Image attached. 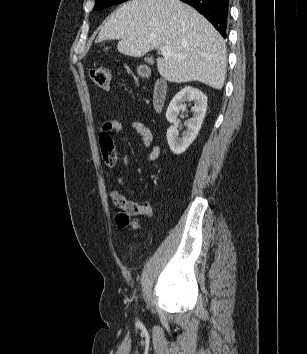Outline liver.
I'll use <instances>...</instances> for the list:
<instances>
[{
    "label": "liver",
    "instance_id": "liver-1",
    "mask_svg": "<svg viewBox=\"0 0 307 354\" xmlns=\"http://www.w3.org/2000/svg\"><path fill=\"white\" fill-rule=\"evenodd\" d=\"M119 40L120 53L142 57L169 46L179 57H159L157 69L169 82L199 81L222 89L226 73L225 41L213 25L179 0H131L120 6L97 41Z\"/></svg>",
    "mask_w": 307,
    "mask_h": 354
}]
</instances>
